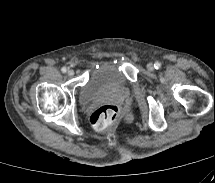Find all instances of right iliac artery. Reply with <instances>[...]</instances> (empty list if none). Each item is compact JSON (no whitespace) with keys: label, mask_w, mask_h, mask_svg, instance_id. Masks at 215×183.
Returning a JSON list of instances; mask_svg holds the SVG:
<instances>
[{"label":"right iliac artery","mask_w":215,"mask_h":183,"mask_svg":"<svg viewBox=\"0 0 215 183\" xmlns=\"http://www.w3.org/2000/svg\"><path fill=\"white\" fill-rule=\"evenodd\" d=\"M61 71H62L63 73H66V72H67V68H66V67H63V68L61 69Z\"/></svg>","instance_id":"82829eb1"}]
</instances>
